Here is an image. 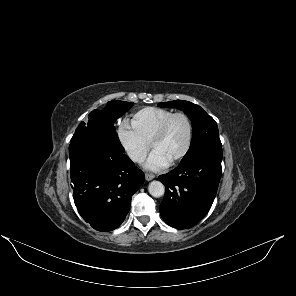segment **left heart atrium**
Listing matches in <instances>:
<instances>
[{
    "mask_svg": "<svg viewBox=\"0 0 296 296\" xmlns=\"http://www.w3.org/2000/svg\"><path fill=\"white\" fill-rule=\"evenodd\" d=\"M168 165L169 162L165 158H163L158 152L153 151L146 162L145 167L150 171H159L166 168Z\"/></svg>",
    "mask_w": 296,
    "mask_h": 296,
    "instance_id": "1",
    "label": "left heart atrium"
}]
</instances>
